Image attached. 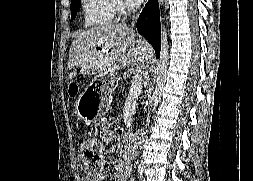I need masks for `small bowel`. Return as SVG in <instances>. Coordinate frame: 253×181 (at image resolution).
Wrapping results in <instances>:
<instances>
[{
	"label": "small bowel",
	"mask_w": 253,
	"mask_h": 181,
	"mask_svg": "<svg viewBox=\"0 0 253 181\" xmlns=\"http://www.w3.org/2000/svg\"><path fill=\"white\" fill-rule=\"evenodd\" d=\"M101 137L102 139L110 143L112 142L114 138V129L112 124L108 123L106 126H104L101 130ZM131 136L126 134L125 140L126 142H131ZM131 158H132V152L129 151V148L126 147L125 154L122 159H118L113 161L112 166L114 169V176L117 181H127L130 173H131ZM104 178V174H96L91 177H85L83 181H102Z\"/></svg>",
	"instance_id": "1"
}]
</instances>
